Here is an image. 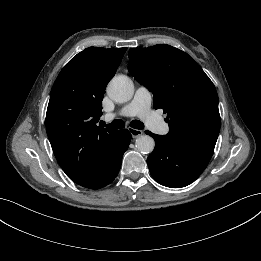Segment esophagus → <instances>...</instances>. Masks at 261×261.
Masks as SVG:
<instances>
[{
	"label": "esophagus",
	"instance_id": "34e87169",
	"mask_svg": "<svg viewBox=\"0 0 261 261\" xmlns=\"http://www.w3.org/2000/svg\"><path fill=\"white\" fill-rule=\"evenodd\" d=\"M129 131L133 138H137L143 134V131L139 129L130 128Z\"/></svg>",
	"mask_w": 261,
	"mask_h": 261
}]
</instances>
